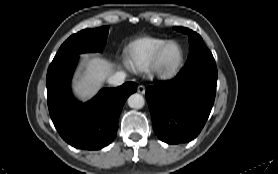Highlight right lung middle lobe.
<instances>
[{
    "instance_id": "1",
    "label": "right lung middle lobe",
    "mask_w": 278,
    "mask_h": 174,
    "mask_svg": "<svg viewBox=\"0 0 278 174\" xmlns=\"http://www.w3.org/2000/svg\"><path fill=\"white\" fill-rule=\"evenodd\" d=\"M109 27L85 29L70 36L60 47L51 64L84 52H101L106 44Z\"/></svg>"
}]
</instances>
